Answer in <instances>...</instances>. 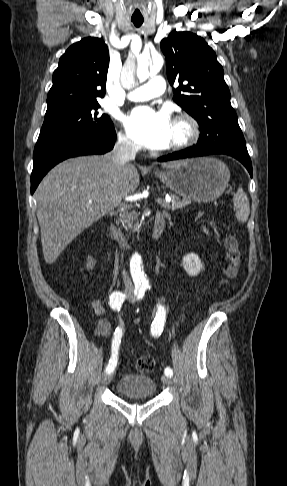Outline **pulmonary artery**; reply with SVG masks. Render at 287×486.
<instances>
[{"label": "pulmonary artery", "mask_w": 287, "mask_h": 486, "mask_svg": "<svg viewBox=\"0 0 287 486\" xmlns=\"http://www.w3.org/2000/svg\"><path fill=\"white\" fill-rule=\"evenodd\" d=\"M165 82L162 77H154L147 83L132 89L126 94V98L131 101H146L163 94Z\"/></svg>", "instance_id": "pulmonary-artery-1"}]
</instances>
